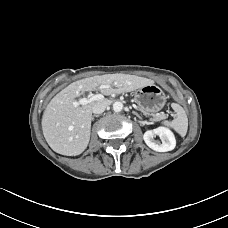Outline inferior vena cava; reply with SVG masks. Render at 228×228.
I'll use <instances>...</instances> for the list:
<instances>
[{
  "label": "inferior vena cava",
  "instance_id": "inferior-vena-cava-1",
  "mask_svg": "<svg viewBox=\"0 0 228 228\" xmlns=\"http://www.w3.org/2000/svg\"><path fill=\"white\" fill-rule=\"evenodd\" d=\"M108 102H97L93 108H92V112L94 114H101L105 111V109L107 108L108 106Z\"/></svg>",
  "mask_w": 228,
  "mask_h": 228
}]
</instances>
